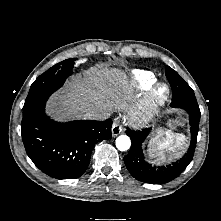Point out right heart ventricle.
<instances>
[{"label": "right heart ventricle", "instance_id": "obj_1", "mask_svg": "<svg viewBox=\"0 0 221 221\" xmlns=\"http://www.w3.org/2000/svg\"><path fill=\"white\" fill-rule=\"evenodd\" d=\"M132 82L140 90H148L155 82L156 77L152 72L144 70H135L132 73Z\"/></svg>", "mask_w": 221, "mask_h": 221}]
</instances>
